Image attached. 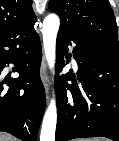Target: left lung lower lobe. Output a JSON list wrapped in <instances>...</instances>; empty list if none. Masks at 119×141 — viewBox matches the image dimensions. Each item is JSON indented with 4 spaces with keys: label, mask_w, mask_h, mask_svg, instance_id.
<instances>
[{
    "label": "left lung lower lobe",
    "mask_w": 119,
    "mask_h": 141,
    "mask_svg": "<svg viewBox=\"0 0 119 141\" xmlns=\"http://www.w3.org/2000/svg\"><path fill=\"white\" fill-rule=\"evenodd\" d=\"M72 44L75 45L73 56L78 64L80 85L69 73L55 80L56 141L85 137L119 141V53L60 28L56 44L57 72L64 68L65 60L70 59L68 46Z\"/></svg>",
    "instance_id": "left-lung-lower-lobe-1"
}]
</instances>
